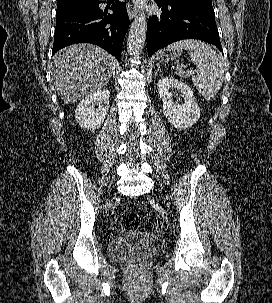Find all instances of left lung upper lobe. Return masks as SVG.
<instances>
[{"label": "left lung upper lobe", "instance_id": "5c2ea615", "mask_svg": "<svg viewBox=\"0 0 272 303\" xmlns=\"http://www.w3.org/2000/svg\"><path fill=\"white\" fill-rule=\"evenodd\" d=\"M164 5H202V6H212V0H159Z\"/></svg>", "mask_w": 272, "mask_h": 303}]
</instances>
